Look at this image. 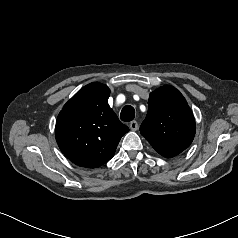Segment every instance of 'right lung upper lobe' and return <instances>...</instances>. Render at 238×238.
<instances>
[{
  "mask_svg": "<svg viewBox=\"0 0 238 238\" xmlns=\"http://www.w3.org/2000/svg\"><path fill=\"white\" fill-rule=\"evenodd\" d=\"M107 85L80 89L58 115L55 136L63 154L78 166L96 168L109 161L129 131L108 104Z\"/></svg>",
  "mask_w": 238,
  "mask_h": 238,
  "instance_id": "obj_1",
  "label": "right lung upper lobe"
}]
</instances>
